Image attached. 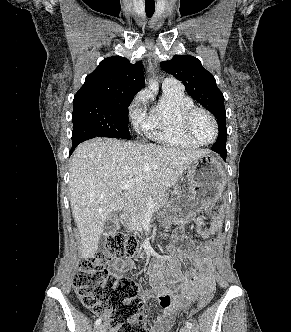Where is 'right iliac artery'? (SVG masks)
Segmentation results:
<instances>
[{"label": "right iliac artery", "mask_w": 291, "mask_h": 332, "mask_svg": "<svg viewBox=\"0 0 291 332\" xmlns=\"http://www.w3.org/2000/svg\"><path fill=\"white\" fill-rule=\"evenodd\" d=\"M101 322H102V319H101V318L97 319V320L95 321V326H96V327L100 326Z\"/></svg>", "instance_id": "right-iliac-artery-1"}]
</instances>
